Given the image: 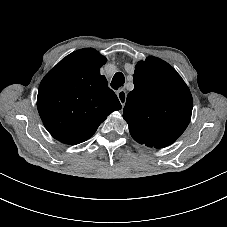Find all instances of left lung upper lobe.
Returning a JSON list of instances; mask_svg holds the SVG:
<instances>
[{"instance_id":"1","label":"left lung upper lobe","mask_w":227,"mask_h":227,"mask_svg":"<svg viewBox=\"0 0 227 227\" xmlns=\"http://www.w3.org/2000/svg\"><path fill=\"white\" fill-rule=\"evenodd\" d=\"M133 81L123 110L131 136L157 149L172 144L191 119L189 88L172 66L153 56L136 65Z\"/></svg>"}]
</instances>
